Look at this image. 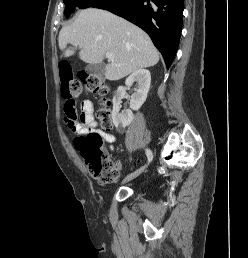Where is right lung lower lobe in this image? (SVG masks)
<instances>
[{"instance_id": "98d812e1", "label": "right lung lower lobe", "mask_w": 248, "mask_h": 258, "mask_svg": "<svg viewBox=\"0 0 248 258\" xmlns=\"http://www.w3.org/2000/svg\"><path fill=\"white\" fill-rule=\"evenodd\" d=\"M95 8L110 11L142 28L161 52L167 69L180 40L184 0H107Z\"/></svg>"}]
</instances>
